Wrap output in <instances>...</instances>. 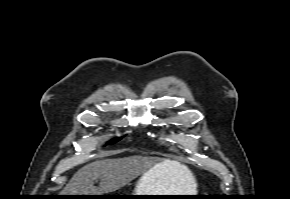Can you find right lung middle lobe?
<instances>
[{"label": "right lung middle lobe", "instance_id": "1", "mask_svg": "<svg viewBox=\"0 0 290 199\" xmlns=\"http://www.w3.org/2000/svg\"><path fill=\"white\" fill-rule=\"evenodd\" d=\"M119 140H120V138L113 139V140H111L108 144H113V143H115V142H117V141H119Z\"/></svg>", "mask_w": 290, "mask_h": 199}]
</instances>
